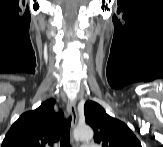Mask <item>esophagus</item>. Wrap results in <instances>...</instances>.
I'll return each instance as SVG.
<instances>
[{
  "mask_svg": "<svg viewBox=\"0 0 163 147\" xmlns=\"http://www.w3.org/2000/svg\"><path fill=\"white\" fill-rule=\"evenodd\" d=\"M67 112L71 116L72 128H74L76 126V123H77V111H76V105H75V100L74 99L68 102V104H67ZM73 142L76 143L75 140H73Z\"/></svg>",
  "mask_w": 163,
  "mask_h": 147,
  "instance_id": "34e87169",
  "label": "esophagus"
}]
</instances>
